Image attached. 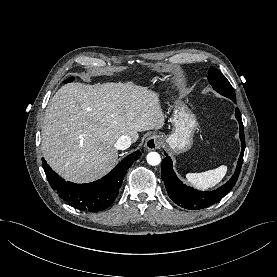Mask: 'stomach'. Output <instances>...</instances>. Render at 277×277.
I'll use <instances>...</instances> for the list:
<instances>
[{
    "instance_id": "1",
    "label": "stomach",
    "mask_w": 277,
    "mask_h": 277,
    "mask_svg": "<svg viewBox=\"0 0 277 277\" xmlns=\"http://www.w3.org/2000/svg\"><path fill=\"white\" fill-rule=\"evenodd\" d=\"M172 123L174 126L172 133L161 137L173 152H185L193 143V136L198 126L196 116L181 100H176Z\"/></svg>"
}]
</instances>
